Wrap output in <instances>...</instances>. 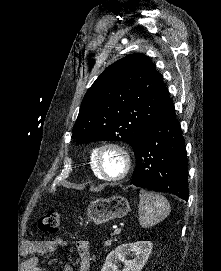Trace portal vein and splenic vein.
Segmentation results:
<instances>
[{
  "mask_svg": "<svg viewBox=\"0 0 221 271\" xmlns=\"http://www.w3.org/2000/svg\"><path fill=\"white\" fill-rule=\"evenodd\" d=\"M122 231L121 227H117V229H114L113 235H117V233H120Z\"/></svg>",
  "mask_w": 221,
  "mask_h": 271,
  "instance_id": "portal-vein-and-splenic-vein-1",
  "label": "portal vein and splenic vein"
}]
</instances>
